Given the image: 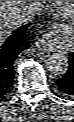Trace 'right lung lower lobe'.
<instances>
[{"instance_id": "1", "label": "right lung lower lobe", "mask_w": 74, "mask_h": 122, "mask_svg": "<svg viewBox=\"0 0 74 122\" xmlns=\"http://www.w3.org/2000/svg\"><path fill=\"white\" fill-rule=\"evenodd\" d=\"M28 25H23L11 35L5 44L0 45V99L6 96L13 88L14 69L16 57L30 47L26 40Z\"/></svg>"}]
</instances>
